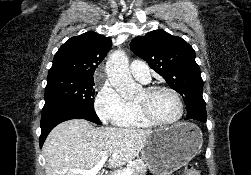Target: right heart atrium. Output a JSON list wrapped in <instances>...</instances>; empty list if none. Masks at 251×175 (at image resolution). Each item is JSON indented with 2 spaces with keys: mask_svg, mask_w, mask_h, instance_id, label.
Returning <instances> with one entry per match:
<instances>
[{
  "mask_svg": "<svg viewBox=\"0 0 251 175\" xmlns=\"http://www.w3.org/2000/svg\"><path fill=\"white\" fill-rule=\"evenodd\" d=\"M100 87L94 98V110L101 121L118 124L130 112L131 105L107 80L99 78Z\"/></svg>",
  "mask_w": 251,
  "mask_h": 175,
  "instance_id": "d8ad5b80",
  "label": "right heart atrium"
}]
</instances>
